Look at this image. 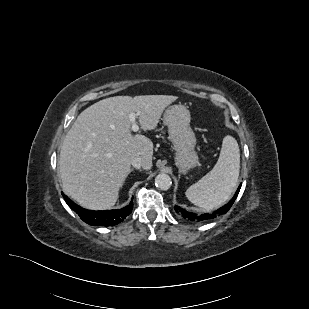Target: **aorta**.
I'll return each mask as SVG.
<instances>
[{
    "label": "aorta",
    "instance_id": "obj_1",
    "mask_svg": "<svg viewBox=\"0 0 309 309\" xmlns=\"http://www.w3.org/2000/svg\"><path fill=\"white\" fill-rule=\"evenodd\" d=\"M155 185L161 190H168L172 185V180L169 175L160 173L155 178Z\"/></svg>",
    "mask_w": 309,
    "mask_h": 309
}]
</instances>
